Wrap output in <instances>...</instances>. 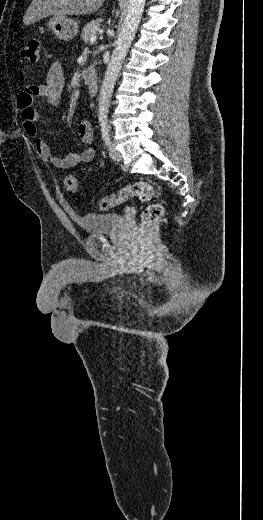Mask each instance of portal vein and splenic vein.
Returning a JSON list of instances; mask_svg holds the SVG:
<instances>
[{"label": "portal vein and splenic vein", "instance_id": "18ae733b", "mask_svg": "<svg viewBox=\"0 0 263 520\" xmlns=\"http://www.w3.org/2000/svg\"><path fill=\"white\" fill-rule=\"evenodd\" d=\"M96 39H97V36H96V35L92 36V37L90 38V43L93 44V43L96 41Z\"/></svg>", "mask_w": 263, "mask_h": 520}]
</instances>
